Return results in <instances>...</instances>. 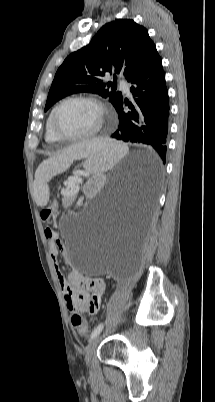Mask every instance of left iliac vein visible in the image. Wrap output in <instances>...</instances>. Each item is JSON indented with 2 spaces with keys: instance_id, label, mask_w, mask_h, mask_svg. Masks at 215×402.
<instances>
[{
  "instance_id": "obj_1",
  "label": "left iliac vein",
  "mask_w": 215,
  "mask_h": 402,
  "mask_svg": "<svg viewBox=\"0 0 215 402\" xmlns=\"http://www.w3.org/2000/svg\"><path fill=\"white\" fill-rule=\"evenodd\" d=\"M100 340H101V335L98 334L88 344V346L86 348V355H85V361H86L87 364L90 363L91 358H92V356H93V354H94V352H95Z\"/></svg>"
}]
</instances>
